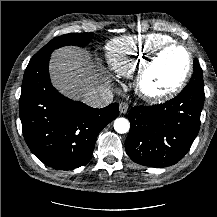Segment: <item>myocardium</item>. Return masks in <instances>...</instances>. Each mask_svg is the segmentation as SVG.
<instances>
[{
	"instance_id": "f54148a6",
	"label": "myocardium",
	"mask_w": 217,
	"mask_h": 217,
	"mask_svg": "<svg viewBox=\"0 0 217 217\" xmlns=\"http://www.w3.org/2000/svg\"><path fill=\"white\" fill-rule=\"evenodd\" d=\"M173 48L181 49L187 55L188 65L185 73L171 89H168L166 91H161V92L149 91L146 87V80L149 72L154 67V65L159 60V58L167 50ZM193 70H194V59L188 47L176 42H169L163 44L162 46L158 47L155 51H153L152 54L148 56V58L142 63V65L138 69L134 80L135 91L143 100L150 103L162 102V101L172 99L175 96H177L186 87V85L188 84L189 80L192 77Z\"/></svg>"
}]
</instances>
